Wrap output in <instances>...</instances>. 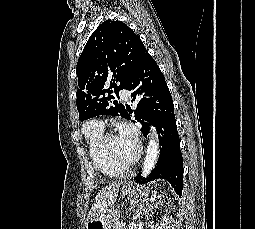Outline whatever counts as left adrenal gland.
Wrapping results in <instances>:
<instances>
[{"instance_id": "obj_1", "label": "left adrenal gland", "mask_w": 255, "mask_h": 229, "mask_svg": "<svg viewBox=\"0 0 255 229\" xmlns=\"http://www.w3.org/2000/svg\"><path fill=\"white\" fill-rule=\"evenodd\" d=\"M158 198H161V196H158ZM154 200H155V198H154ZM153 201V200H152Z\"/></svg>"}]
</instances>
